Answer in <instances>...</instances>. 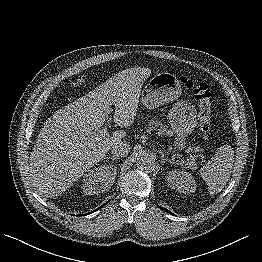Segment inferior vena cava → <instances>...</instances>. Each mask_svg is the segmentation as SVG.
I'll list each match as a JSON object with an SVG mask.
<instances>
[{"instance_id": "obj_1", "label": "inferior vena cava", "mask_w": 262, "mask_h": 262, "mask_svg": "<svg viewBox=\"0 0 262 262\" xmlns=\"http://www.w3.org/2000/svg\"><path fill=\"white\" fill-rule=\"evenodd\" d=\"M131 146L129 142L119 140L116 143H114L111 147V153L116 158H122L128 155L130 152Z\"/></svg>"}]
</instances>
